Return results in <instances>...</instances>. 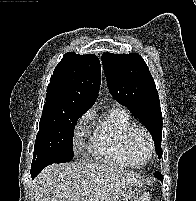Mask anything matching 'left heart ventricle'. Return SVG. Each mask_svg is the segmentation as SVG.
Returning a JSON list of instances; mask_svg holds the SVG:
<instances>
[{
    "instance_id": "1",
    "label": "left heart ventricle",
    "mask_w": 196,
    "mask_h": 201,
    "mask_svg": "<svg viewBox=\"0 0 196 201\" xmlns=\"http://www.w3.org/2000/svg\"><path fill=\"white\" fill-rule=\"evenodd\" d=\"M132 156L136 164L140 165L146 162L149 156V145L146 137L137 133L132 141Z\"/></svg>"
}]
</instances>
